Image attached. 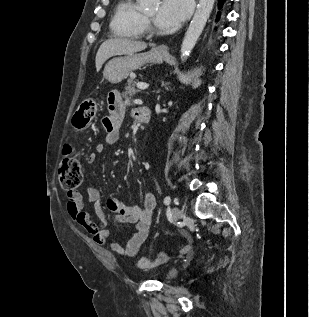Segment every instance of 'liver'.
<instances>
[{
	"label": "liver",
	"mask_w": 309,
	"mask_h": 317,
	"mask_svg": "<svg viewBox=\"0 0 309 317\" xmlns=\"http://www.w3.org/2000/svg\"><path fill=\"white\" fill-rule=\"evenodd\" d=\"M147 47L145 42L134 41L127 38H111L104 41L96 54L95 64L97 72L107 59L116 55H125L144 50Z\"/></svg>",
	"instance_id": "obj_1"
}]
</instances>
